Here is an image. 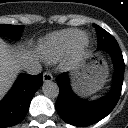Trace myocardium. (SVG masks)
Wrapping results in <instances>:
<instances>
[{"instance_id": "obj_1", "label": "myocardium", "mask_w": 128, "mask_h": 128, "mask_svg": "<svg viewBox=\"0 0 128 128\" xmlns=\"http://www.w3.org/2000/svg\"><path fill=\"white\" fill-rule=\"evenodd\" d=\"M80 35L82 36L83 34ZM86 44V42L78 43L73 49L72 57H78L84 51Z\"/></svg>"}]
</instances>
